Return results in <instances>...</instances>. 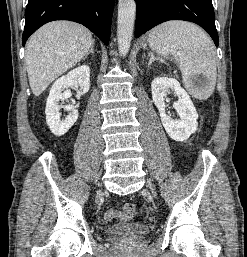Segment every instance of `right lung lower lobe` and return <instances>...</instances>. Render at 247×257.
I'll return each instance as SVG.
<instances>
[{"mask_svg":"<svg viewBox=\"0 0 247 257\" xmlns=\"http://www.w3.org/2000/svg\"><path fill=\"white\" fill-rule=\"evenodd\" d=\"M114 0H28L22 43L42 25L54 20L83 24L109 44Z\"/></svg>","mask_w":247,"mask_h":257,"instance_id":"98d812e1","label":"right lung lower lobe"}]
</instances>
